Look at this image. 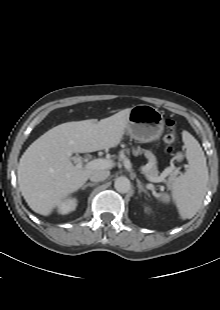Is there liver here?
Listing matches in <instances>:
<instances>
[{"label":"liver","instance_id":"obj_1","mask_svg":"<svg viewBox=\"0 0 220 310\" xmlns=\"http://www.w3.org/2000/svg\"><path fill=\"white\" fill-rule=\"evenodd\" d=\"M131 108L96 121L60 124L35 140L20 158L17 175L22 196L36 213L48 216L68 195L77 191L92 172L74 166L73 153L116 147L122 140Z\"/></svg>","mask_w":220,"mask_h":310}]
</instances>
